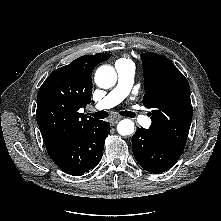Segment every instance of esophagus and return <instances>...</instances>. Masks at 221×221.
Listing matches in <instances>:
<instances>
[{"label":"esophagus","instance_id":"obj_1","mask_svg":"<svg viewBox=\"0 0 221 221\" xmlns=\"http://www.w3.org/2000/svg\"><path fill=\"white\" fill-rule=\"evenodd\" d=\"M120 119H121L120 117H113V118H111L110 119L111 125L115 126L119 122Z\"/></svg>","mask_w":221,"mask_h":221}]
</instances>
